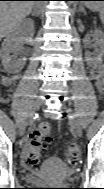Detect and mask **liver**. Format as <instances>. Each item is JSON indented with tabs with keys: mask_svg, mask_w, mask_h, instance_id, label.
I'll return each instance as SVG.
<instances>
[{
	"mask_svg": "<svg viewBox=\"0 0 104 189\" xmlns=\"http://www.w3.org/2000/svg\"><path fill=\"white\" fill-rule=\"evenodd\" d=\"M34 1H1L0 2V35L7 36L14 32L21 21L31 13Z\"/></svg>",
	"mask_w": 104,
	"mask_h": 189,
	"instance_id": "liver-1",
	"label": "liver"
}]
</instances>
